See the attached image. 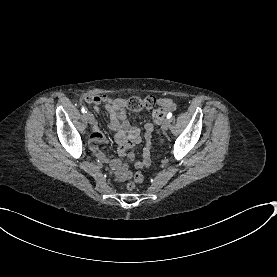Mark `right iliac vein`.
Returning <instances> with one entry per match:
<instances>
[{"mask_svg": "<svg viewBox=\"0 0 277 277\" xmlns=\"http://www.w3.org/2000/svg\"><path fill=\"white\" fill-rule=\"evenodd\" d=\"M86 117L88 122L92 125L94 124L95 118L94 115L91 112L86 113Z\"/></svg>", "mask_w": 277, "mask_h": 277, "instance_id": "right-iliac-vein-1", "label": "right iliac vein"}]
</instances>
